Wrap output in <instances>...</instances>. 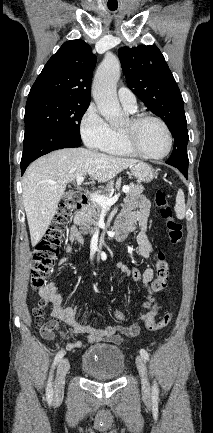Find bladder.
Returning <instances> with one entry per match:
<instances>
[{
    "label": "bladder",
    "instance_id": "bladder-1",
    "mask_svg": "<svg viewBox=\"0 0 213 433\" xmlns=\"http://www.w3.org/2000/svg\"><path fill=\"white\" fill-rule=\"evenodd\" d=\"M81 369L95 379H116L124 373L125 356L118 346L96 344L82 355Z\"/></svg>",
    "mask_w": 213,
    "mask_h": 433
}]
</instances>
